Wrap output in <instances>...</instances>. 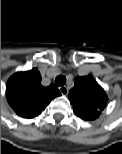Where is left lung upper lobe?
I'll use <instances>...</instances> for the list:
<instances>
[{"label": "left lung upper lobe", "instance_id": "1", "mask_svg": "<svg viewBox=\"0 0 122 154\" xmlns=\"http://www.w3.org/2000/svg\"><path fill=\"white\" fill-rule=\"evenodd\" d=\"M107 95L92 76L77 77L69 92L74 112L84 120L96 119L107 104Z\"/></svg>", "mask_w": 122, "mask_h": 154}]
</instances>
